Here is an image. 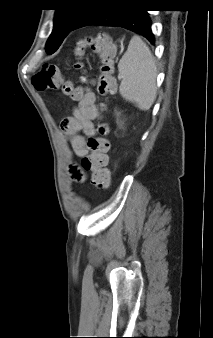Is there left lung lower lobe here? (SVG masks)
Returning a JSON list of instances; mask_svg holds the SVG:
<instances>
[{
  "label": "left lung lower lobe",
  "instance_id": "0a47b994",
  "mask_svg": "<svg viewBox=\"0 0 213 338\" xmlns=\"http://www.w3.org/2000/svg\"><path fill=\"white\" fill-rule=\"evenodd\" d=\"M92 25L122 27L144 36L151 44L155 42L147 9L136 7L132 0H109L106 4H98L74 29Z\"/></svg>",
  "mask_w": 213,
  "mask_h": 338
}]
</instances>
